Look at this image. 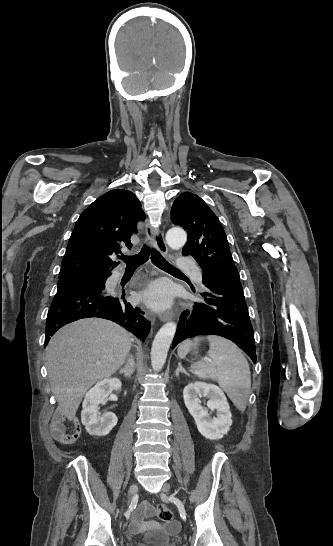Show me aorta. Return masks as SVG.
<instances>
[{
  "label": "aorta",
  "mask_w": 333,
  "mask_h": 546,
  "mask_svg": "<svg viewBox=\"0 0 333 546\" xmlns=\"http://www.w3.org/2000/svg\"><path fill=\"white\" fill-rule=\"evenodd\" d=\"M186 241L187 234L182 228L173 227L166 234V242L174 250L182 248ZM175 332L176 324L174 322H167L156 334L150 353L153 370L160 371L163 368Z\"/></svg>",
  "instance_id": "762f6f07"
}]
</instances>
